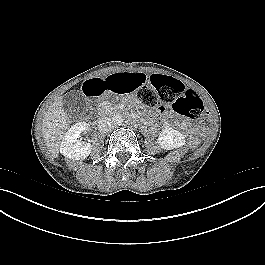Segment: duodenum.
<instances>
[{
  "label": "duodenum",
  "mask_w": 265,
  "mask_h": 265,
  "mask_svg": "<svg viewBox=\"0 0 265 265\" xmlns=\"http://www.w3.org/2000/svg\"><path fill=\"white\" fill-rule=\"evenodd\" d=\"M135 120L137 121V122H142L140 119H138L137 117L135 118Z\"/></svg>",
  "instance_id": "duodenum-1"
}]
</instances>
